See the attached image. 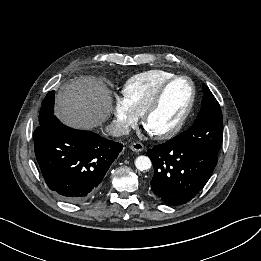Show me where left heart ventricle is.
Listing matches in <instances>:
<instances>
[{
    "mask_svg": "<svg viewBox=\"0 0 261 261\" xmlns=\"http://www.w3.org/2000/svg\"><path fill=\"white\" fill-rule=\"evenodd\" d=\"M191 97L190 83L185 79L174 82L167 90L158 110L150 117L148 129L153 133L174 127L186 110Z\"/></svg>",
    "mask_w": 261,
    "mask_h": 261,
    "instance_id": "b2bd125f",
    "label": "left heart ventricle"
}]
</instances>
